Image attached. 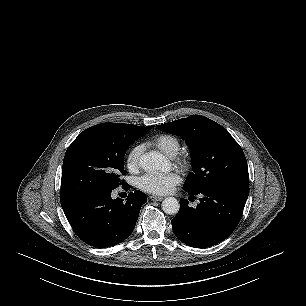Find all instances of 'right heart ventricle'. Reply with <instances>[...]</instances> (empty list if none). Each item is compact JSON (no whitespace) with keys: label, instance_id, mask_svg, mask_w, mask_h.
<instances>
[{"label":"right heart ventricle","instance_id":"obj_1","mask_svg":"<svg viewBox=\"0 0 306 306\" xmlns=\"http://www.w3.org/2000/svg\"><path fill=\"white\" fill-rule=\"evenodd\" d=\"M148 145L169 158L175 157L181 149L180 140L174 135L165 133L153 137Z\"/></svg>","mask_w":306,"mask_h":306}]
</instances>
